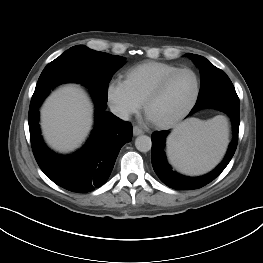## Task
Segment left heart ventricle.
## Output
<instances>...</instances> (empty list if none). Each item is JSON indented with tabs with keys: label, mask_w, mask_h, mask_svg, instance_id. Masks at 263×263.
I'll return each instance as SVG.
<instances>
[{
	"label": "left heart ventricle",
	"mask_w": 263,
	"mask_h": 263,
	"mask_svg": "<svg viewBox=\"0 0 263 263\" xmlns=\"http://www.w3.org/2000/svg\"><path fill=\"white\" fill-rule=\"evenodd\" d=\"M195 91V77L182 72L167 84L162 94L151 104L148 117L153 121H164L180 113Z\"/></svg>",
	"instance_id": "b2bd125f"
}]
</instances>
